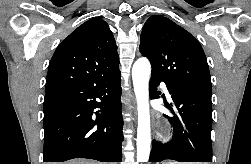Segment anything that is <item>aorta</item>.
Returning <instances> with one entry per match:
<instances>
[{
	"mask_svg": "<svg viewBox=\"0 0 251 164\" xmlns=\"http://www.w3.org/2000/svg\"><path fill=\"white\" fill-rule=\"evenodd\" d=\"M151 65L147 58H139L132 68V79L137 101V161L147 162L150 154L151 128L149 107V78Z\"/></svg>",
	"mask_w": 251,
	"mask_h": 164,
	"instance_id": "aorta-1",
	"label": "aorta"
}]
</instances>
